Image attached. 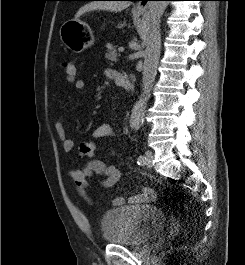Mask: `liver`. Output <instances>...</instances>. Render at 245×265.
Returning <instances> with one entry per match:
<instances>
[{"mask_svg":"<svg viewBox=\"0 0 245 265\" xmlns=\"http://www.w3.org/2000/svg\"><path fill=\"white\" fill-rule=\"evenodd\" d=\"M130 6L127 1H95L88 3L81 7L75 15V19L79 18L82 14L93 10H106V11H122Z\"/></svg>","mask_w":245,"mask_h":265,"instance_id":"obj_1","label":"liver"}]
</instances>
